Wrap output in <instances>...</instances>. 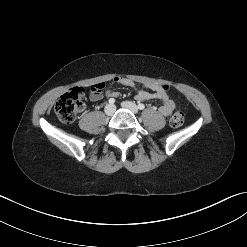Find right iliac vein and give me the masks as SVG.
Returning <instances> with one entry per match:
<instances>
[{"mask_svg":"<svg viewBox=\"0 0 247 247\" xmlns=\"http://www.w3.org/2000/svg\"><path fill=\"white\" fill-rule=\"evenodd\" d=\"M104 112L107 116H112L115 112V106L114 105H106Z\"/></svg>","mask_w":247,"mask_h":247,"instance_id":"1","label":"right iliac vein"}]
</instances>
